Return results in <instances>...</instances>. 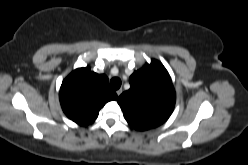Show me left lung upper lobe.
Masks as SVG:
<instances>
[{
    "instance_id": "5c2ea615",
    "label": "left lung upper lobe",
    "mask_w": 248,
    "mask_h": 165,
    "mask_svg": "<svg viewBox=\"0 0 248 165\" xmlns=\"http://www.w3.org/2000/svg\"><path fill=\"white\" fill-rule=\"evenodd\" d=\"M130 89L118 98L126 121L137 130L163 124L175 106L171 78L157 60H151L130 76Z\"/></svg>"
}]
</instances>
